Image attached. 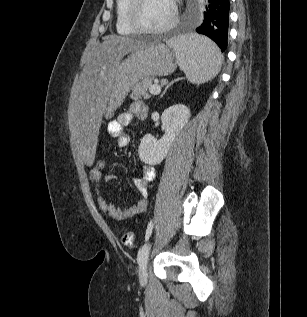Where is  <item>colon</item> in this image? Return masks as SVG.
<instances>
[{"label":"colon","instance_id":"1","mask_svg":"<svg viewBox=\"0 0 307 317\" xmlns=\"http://www.w3.org/2000/svg\"><path fill=\"white\" fill-rule=\"evenodd\" d=\"M106 168V161L99 157L95 160L94 169L103 172ZM121 242L126 246H132L134 242V234L132 232H126L121 236Z\"/></svg>","mask_w":307,"mask_h":317}]
</instances>
